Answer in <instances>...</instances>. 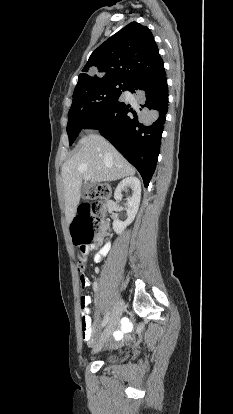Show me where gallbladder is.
Instances as JSON below:
<instances>
[{
  "instance_id": "gallbladder-1",
  "label": "gallbladder",
  "mask_w": 233,
  "mask_h": 414,
  "mask_svg": "<svg viewBox=\"0 0 233 414\" xmlns=\"http://www.w3.org/2000/svg\"><path fill=\"white\" fill-rule=\"evenodd\" d=\"M91 187H92L91 183L82 184V187H81L82 195H85V194L89 193V190H90Z\"/></svg>"
}]
</instances>
